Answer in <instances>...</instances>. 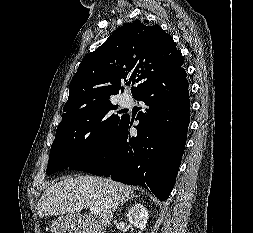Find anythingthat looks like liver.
<instances>
[{
  "label": "liver",
  "instance_id": "liver-1",
  "mask_svg": "<svg viewBox=\"0 0 253 233\" xmlns=\"http://www.w3.org/2000/svg\"><path fill=\"white\" fill-rule=\"evenodd\" d=\"M134 197L133 188L111 179L94 176L64 177L44 191L40 200L39 217L76 214L96 207L99 210L97 229L111 223L120 203Z\"/></svg>",
  "mask_w": 253,
  "mask_h": 233
}]
</instances>
